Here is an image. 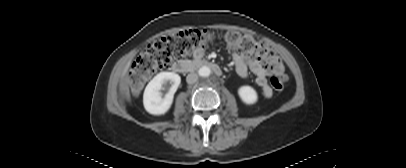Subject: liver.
I'll list each match as a JSON object with an SVG mask.
<instances>
[{
	"instance_id": "obj_1",
	"label": "liver",
	"mask_w": 406,
	"mask_h": 168,
	"mask_svg": "<svg viewBox=\"0 0 406 168\" xmlns=\"http://www.w3.org/2000/svg\"><path fill=\"white\" fill-rule=\"evenodd\" d=\"M129 65H130V62L126 65V67L124 68V71H123V75L125 74V72L127 71V69H128V67H129Z\"/></svg>"
}]
</instances>
